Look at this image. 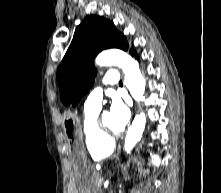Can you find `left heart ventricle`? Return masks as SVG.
Here are the masks:
<instances>
[{"label":"left heart ventricle","mask_w":221,"mask_h":193,"mask_svg":"<svg viewBox=\"0 0 221 193\" xmlns=\"http://www.w3.org/2000/svg\"><path fill=\"white\" fill-rule=\"evenodd\" d=\"M102 118H103V123L108 130L113 131V132H117V129L114 125V122H113V119H112L110 113H108V112L104 113L102 115Z\"/></svg>","instance_id":"b2bd125f"}]
</instances>
